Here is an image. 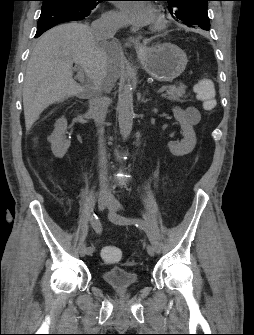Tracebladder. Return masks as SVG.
Listing matches in <instances>:
<instances>
[{
    "mask_svg": "<svg viewBox=\"0 0 254 335\" xmlns=\"http://www.w3.org/2000/svg\"><path fill=\"white\" fill-rule=\"evenodd\" d=\"M104 282L112 289L124 291L137 286V275L135 272L114 267L103 273Z\"/></svg>",
    "mask_w": 254,
    "mask_h": 335,
    "instance_id": "obj_1",
    "label": "bladder"
}]
</instances>
